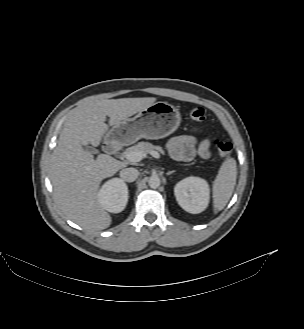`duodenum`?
I'll return each mask as SVG.
<instances>
[{"label":"duodenum","instance_id":"410a0bca","mask_svg":"<svg viewBox=\"0 0 304 329\" xmlns=\"http://www.w3.org/2000/svg\"><path fill=\"white\" fill-rule=\"evenodd\" d=\"M119 150L120 148L112 142H107L104 145V151L106 154H116Z\"/></svg>","mask_w":304,"mask_h":329}]
</instances>
